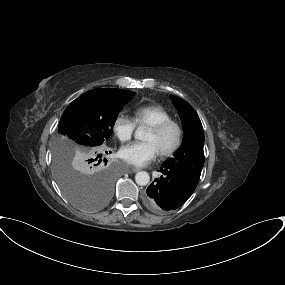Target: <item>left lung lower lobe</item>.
<instances>
[{
    "label": "left lung lower lobe",
    "instance_id": "left-lung-lower-lobe-1",
    "mask_svg": "<svg viewBox=\"0 0 285 285\" xmlns=\"http://www.w3.org/2000/svg\"><path fill=\"white\" fill-rule=\"evenodd\" d=\"M162 176L151 183L144 196L145 205L156 212H168L182 206L194 192L199 179L168 166H161Z\"/></svg>",
    "mask_w": 285,
    "mask_h": 285
}]
</instances>
